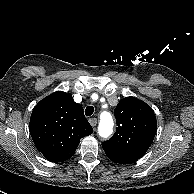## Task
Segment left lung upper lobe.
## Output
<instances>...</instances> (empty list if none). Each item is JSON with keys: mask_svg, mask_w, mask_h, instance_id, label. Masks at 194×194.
Here are the masks:
<instances>
[{"mask_svg": "<svg viewBox=\"0 0 194 194\" xmlns=\"http://www.w3.org/2000/svg\"><path fill=\"white\" fill-rule=\"evenodd\" d=\"M117 128L114 136L102 143L110 160L129 164L145 155L157 131L156 116L145 102L135 98L122 99L114 110Z\"/></svg>", "mask_w": 194, "mask_h": 194, "instance_id": "obj_1", "label": "left lung upper lobe"}]
</instances>
